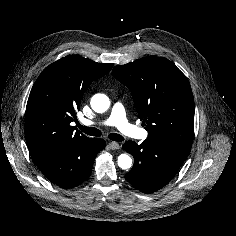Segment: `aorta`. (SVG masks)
<instances>
[{
  "mask_svg": "<svg viewBox=\"0 0 236 236\" xmlns=\"http://www.w3.org/2000/svg\"><path fill=\"white\" fill-rule=\"evenodd\" d=\"M110 106V101L108 97L104 96L101 100V104H98L96 101L91 102L92 109L97 113L105 112ZM118 166L122 169H129L132 165V158L127 154H121L118 157Z\"/></svg>",
  "mask_w": 236,
  "mask_h": 236,
  "instance_id": "aorta-1",
  "label": "aorta"
}]
</instances>
